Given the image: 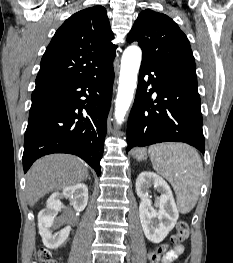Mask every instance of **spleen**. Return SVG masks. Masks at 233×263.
I'll list each match as a JSON object with an SVG mask.
<instances>
[{"instance_id":"obj_1","label":"spleen","mask_w":233,"mask_h":263,"mask_svg":"<svg viewBox=\"0 0 233 263\" xmlns=\"http://www.w3.org/2000/svg\"><path fill=\"white\" fill-rule=\"evenodd\" d=\"M154 170L172 185L178 209L190 212L197 203L203 176L198 152L183 143H163L148 149Z\"/></svg>"}]
</instances>
